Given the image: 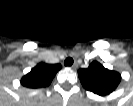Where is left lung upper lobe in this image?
<instances>
[{"label": "left lung upper lobe", "instance_id": "1", "mask_svg": "<svg viewBox=\"0 0 133 106\" xmlns=\"http://www.w3.org/2000/svg\"><path fill=\"white\" fill-rule=\"evenodd\" d=\"M78 75L86 90L100 96L114 91L121 81L118 72L104 68L97 61L92 62L87 69H79Z\"/></svg>", "mask_w": 133, "mask_h": 106}]
</instances>
